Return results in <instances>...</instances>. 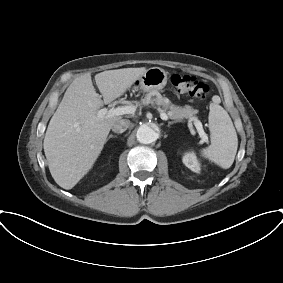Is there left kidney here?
<instances>
[{
	"label": "left kidney",
	"instance_id": "obj_1",
	"mask_svg": "<svg viewBox=\"0 0 283 283\" xmlns=\"http://www.w3.org/2000/svg\"><path fill=\"white\" fill-rule=\"evenodd\" d=\"M182 160H183V163L193 172L198 173L200 171V164L193 152L186 153L183 156Z\"/></svg>",
	"mask_w": 283,
	"mask_h": 283
}]
</instances>
